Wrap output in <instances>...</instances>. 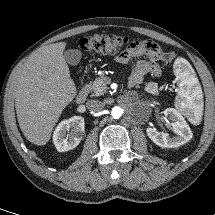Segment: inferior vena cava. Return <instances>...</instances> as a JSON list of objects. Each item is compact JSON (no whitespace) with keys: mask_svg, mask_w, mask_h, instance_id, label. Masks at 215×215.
<instances>
[{"mask_svg":"<svg viewBox=\"0 0 215 215\" xmlns=\"http://www.w3.org/2000/svg\"><path fill=\"white\" fill-rule=\"evenodd\" d=\"M87 109L93 112H99L104 108V103L99 100H88L86 103Z\"/></svg>","mask_w":215,"mask_h":215,"instance_id":"602c4592","label":"inferior vena cava"}]
</instances>
